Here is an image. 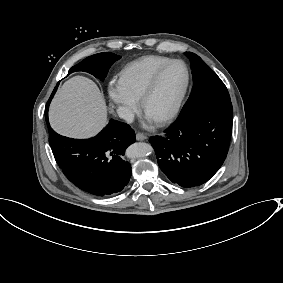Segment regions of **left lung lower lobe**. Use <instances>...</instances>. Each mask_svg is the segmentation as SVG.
<instances>
[{"label": "left lung lower lobe", "mask_w": 283, "mask_h": 283, "mask_svg": "<svg viewBox=\"0 0 283 283\" xmlns=\"http://www.w3.org/2000/svg\"><path fill=\"white\" fill-rule=\"evenodd\" d=\"M232 122L230 101L207 102L179 115L163 135L150 138L160 169L181 187L202 185L227 156Z\"/></svg>", "instance_id": "left-lung-lower-lobe-1"}]
</instances>
